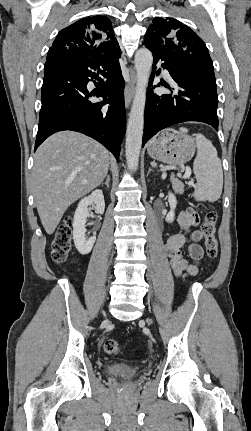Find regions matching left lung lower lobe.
<instances>
[{
	"label": "left lung lower lobe",
	"mask_w": 251,
	"mask_h": 431,
	"mask_svg": "<svg viewBox=\"0 0 251 431\" xmlns=\"http://www.w3.org/2000/svg\"><path fill=\"white\" fill-rule=\"evenodd\" d=\"M153 54L154 61L150 83L153 82L156 64L167 69L178 89L161 84L171 94L158 96L148 93L145 107V122L142 147L160 130L186 121H199L211 125L218 131L217 91L213 68L186 64L181 58L165 53L161 48L143 43ZM160 86L157 84L155 87Z\"/></svg>",
	"instance_id": "obj_1"
}]
</instances>
